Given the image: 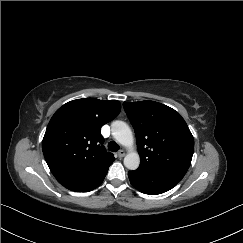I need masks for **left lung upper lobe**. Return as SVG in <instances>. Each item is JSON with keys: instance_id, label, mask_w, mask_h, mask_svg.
Instances as JSON below:
<instances>
[{"instance_id": "left-lung-upper-lobe-1", "label": "left lung upper lobe", "mask_w": 243, "mask_h": 243, "mask_svg": "<svg viewBox=\"0 0 243 243\" xmlns=\"http://www.w3.org/2000/svg\"><path fill=\"white\" fill-rule=\"evenodd\" d=\"M123 106L135 129L141 158L136 172L145 173L172 167L189 168L194 139L177 111L149 100L124 102Z\"/></svg>"}]
</instances>
